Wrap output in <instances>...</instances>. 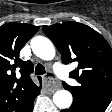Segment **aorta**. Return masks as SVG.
I'll return each mask as SVG.
<instances>
[{
  "label": "aorta",
  "instance_id": "aorta-1",
  "mask_svg": "<svg viewBox=\"0 0 112 112\" xmlns=\"http://www.w3.org/2000/svg\"><path fill=\"white\" fill-rule=\"evenodd\" d=\"M33 53L43 60H52L55 57L53 43L46 37L36 36L31 40ZM54 104L60 109L69 108L72 104V95L67 90H58L53 95Z\"/></svg>",
  "mask_w": 112,
  "mask_h": 112
}]
</instances>
